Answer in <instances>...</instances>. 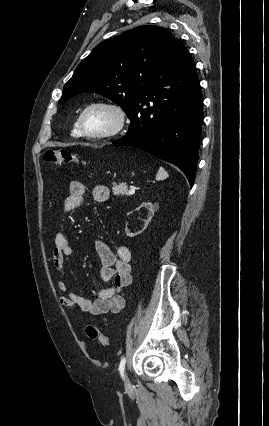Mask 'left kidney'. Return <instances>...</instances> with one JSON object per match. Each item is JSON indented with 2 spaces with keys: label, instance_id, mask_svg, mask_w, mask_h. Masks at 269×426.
I'll use <instances>...</instances> for the list:
<instances>
[{
  "label": "left kidney",
  "instance_id": "left-kidney-1",
  "mask_svg": "<svg viewBox=\"0 0 269 426\" xmlns=\"http://www.w3.org/2000/svg\"><path fill=\"white\" fill-rule=\"evenodd\" d=\"M141 208H145L148 210V218L147 220H144L145 224L141 230H136V229L131 230L130 228H128V226H126L125 232H126V235L129 237H134L143 232V230L147 227L149 221L151 220V217L154 214V212L159 209V205L152 204L151 202H143L136 210L138 211Z\"/></svg>",
  "mask_w": 269,
  "mask_h": 426
}]
</instances>
